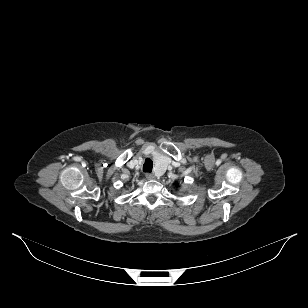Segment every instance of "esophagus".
I'll use <instances>...</instances> for the list:
<instances>
[{
	"label": "esophagus",
	"mask_w": 308,
	"mask_h": 308,
	"mask_svg": "<svg viewBox=\"0 0 308 308\" xmlns=\"http://www.w3.org/2000/svg\"><path fill=\"white\" fill-rule=\"evenodd\" d=\"M146 178L148 179V180H151V179H154L155 178V176L152 174V173H146Z\"/></svg>",
	"instance_id": "esophagus-1"
}]
</instances>
